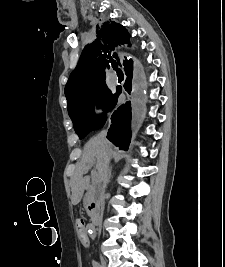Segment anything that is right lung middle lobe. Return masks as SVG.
Listing matches in <instances>:
<instances>
[{"label": "right lung middle lobe", "mask_w": 225, "mask_h": 267, "mask_svg": "<svg viewBox=\"0 0 225 267\" xmlns=\"http://www.w3.org/2000/svg\"><path fill=\"white\" fill-rule=\"evenodd\" d=\"M117 97V92L113 94L106 84H100L91 87L79 99L68 104L69 116L80 139L101 128L107 119L106 113L100 117L95 114V106L108 112L112 110Z\"/></svg>", "instance_id": "obj_1"}]
</instances>
